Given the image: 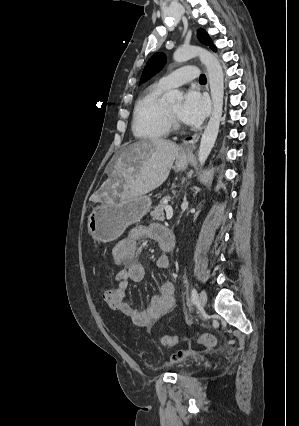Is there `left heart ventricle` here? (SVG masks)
Wrapping results in <instances>:
<instances>
[{
  "mask_svg": "<svg viewBox=\"0 0 299 426\" xmlns=\"http://www.w3.org/2000/svg\"><path fill=\"white\" fill-rule=\"evenodd\" d=\"M170 109L172 110V112L176 115V117L179 119V112L181 109V103H174V104H170Z\"/></svg>",
  "mask_w": 299,
  "mask_h": 426,
  "instance_id": "1",
  "label": "left heart ventricle"
}]
</instances>
